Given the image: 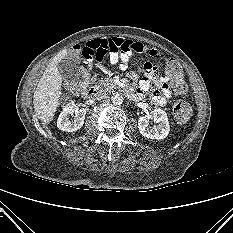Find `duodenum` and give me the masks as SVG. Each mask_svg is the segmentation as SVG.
Wrapping results in <instances>:
<instances>
[{
    "label": "duodenum",
    "mask_w": 233,
    "mask_h": 233,
    "mask_svg": "<svg viewBox=\"0 0 233 233\" xmlns=\"http://www.w3.org/2000/svg\"><path fill=\"white\" fill-rule=\"evenodd\" d=\"M97 93H98V91H97V89L95 87H90V88H88V89H86V90L83 91V96L86 99H92V98H94L97 95ZM127 94L130 97H134V93L131 90H128Z\"/></svg>",
    "instance_id": "duodenum-1"
}]
</instances>
